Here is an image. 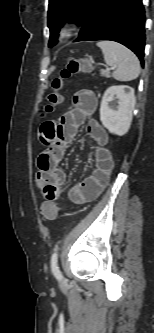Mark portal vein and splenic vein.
Returning <instances> with one entry per match:
<instances>
[{"instance_id":"portal-vein-and-splenic-vein-1","label":"portal vein and splenic vein","mask_w":154,"mask_h":333,"mask_svg":"<svg viewBox=\"0 0 154 333\" xmlns=\"http://www.w3.org/2000/svg\"><path fill=\"white\" fill-rule=\"evenodd\" d=\"M108 70H113L114 69V67H112V68H107Z\"/></svg>"}]
</instances>
